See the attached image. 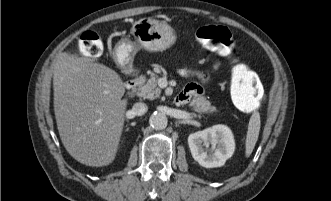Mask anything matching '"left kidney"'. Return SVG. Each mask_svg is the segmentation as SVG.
I'll return each mask as SVG.
<instances>
[{"instance_id":"5707ae66","label":"left kidney","mask_w":331,"mask_h":201,"mask_svg":"<svg viewBox=\"0 0 331 201\" xmlns=\"http://www.w3.org/2000/svg\"><path fill=\"white\" fill-rule=\"evenodd\" d=\"M188 145L194 160L205 168L223 166L235 150L232 131L222 124L190 134Z\"/></svg>"}]
</instances>
